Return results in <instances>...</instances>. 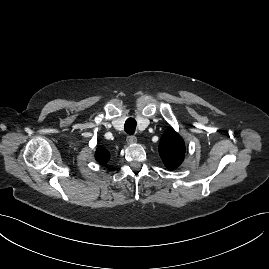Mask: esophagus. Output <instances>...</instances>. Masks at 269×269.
Returning a JSON list of instances; mask_svg holds the SVG:
<instances>
[{
	"label": "esophagus",
	"mask_w": 269,
	"mask_h": 269,
	"mask_svg": "<svg viewBox=\"0 0 269 269\" xmlns=\"http://www.w3.org/2000/svg\"><path fill=\"white\" fill-rule=\"evenodd\" d=\"M137 142V138L133 135L127 136V143L128 144H135Z\"/></svg>",
	"instance_id": "1"
}]
</instances>
